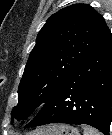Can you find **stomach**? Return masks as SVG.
Masks as SVG:
<instances>
[{
    "mask_svg": "<svg viewBox=\"0 0 112 135\" xmlns=\"http://www.w3.org/2000/svg\"><path fill=\"white\" fill-rule=\"evenodd\" d=\"M40 135H79V131L68 125H53L43 129Z\"/></svg>",
    "mask_w": 112,
    "mask_h": 135,
    "instance_id": "1",
    "label": "stomach"
}]
</instances>
